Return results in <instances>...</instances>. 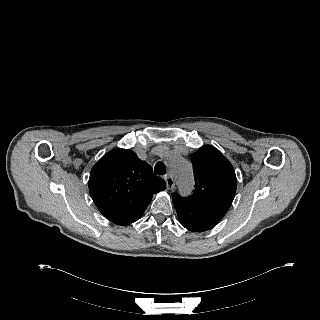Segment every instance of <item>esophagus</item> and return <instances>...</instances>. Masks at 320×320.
Listing matches in <instances>:
<instances>
[{"instance_id":"esophagus-1","label":"esophagus","mask_w":320,"mask_h":320,"mask_svg":"<svg viewBox=\"0 0 320 320\" xmlns=\"http://www.w3.org/2000/svg\"><path fill=\"white\" fill-rule=\"evenodd\" d=\"M165 182H166L167 189L170 190L174 188V179L170 174L165 176Z\"/></svg>"}]
</instances>
